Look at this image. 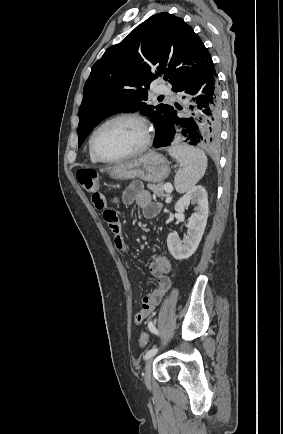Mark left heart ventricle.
I'll return each mask as SVG.
<instances>
[{"label":"left heart ventricle","instance_id":"b2bd125f","mask_svg":"<svg viewBox=\"0 0 283 434\" xmlns=\"http://www.w3.org/2000/svg\"><path fill=\"white\" fill-rule=\"evenodd\" d=\"M141 126L132 120H119L104 126L96 135L97 152L106 158H116L136 150L143 142Z\"/></svg>","mask_w":283,"mask_h":434}]
</instances>
